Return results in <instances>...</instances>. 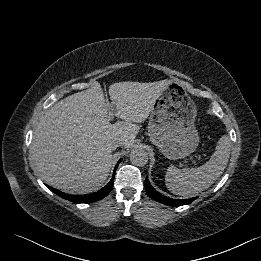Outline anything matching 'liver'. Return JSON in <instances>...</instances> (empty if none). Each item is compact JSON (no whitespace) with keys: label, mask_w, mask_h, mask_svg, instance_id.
<instances>
[{"label":"liver","mask_w":261,"mask_h":261,"mask_svg":"<svg viewBox=\"0 0 261 261\" xmlns=\"http://www.w3.org/2000/svg\"><path fill=\"white\" fill-rule=\"evenodd\" d=\"M169 84L119 82L109 86L111 105L105 102L98 82L54 104L40 119L32 139L31 154L41 178L71 194L97 191L111 168V144L130 148L139 132L138 123ZM108 106L123 121L111 124Z\"/></svg>","instance_id":"6515ba94"}]
</instances>
